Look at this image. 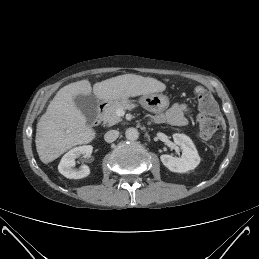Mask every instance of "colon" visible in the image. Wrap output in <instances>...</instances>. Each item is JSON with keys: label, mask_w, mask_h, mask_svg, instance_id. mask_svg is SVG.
<instances>
[{"label": "colon", "mask_w": 259, "mask_h": 259, "mask_svg": "<svg viewBox=\"0 0 259 259\" xmlns=\"http://www.w3.org/2000/svg\"><path fill=\"white\" fill-rule=\"evenodd\" d=\"M195 95L201 109V113L198 115L197 119L200 135L204 139H210L219 129L217 104L212 95L202 87H198L195 90Z\"/></svg>", "instance_id": "obj_1"}]
</instances>
